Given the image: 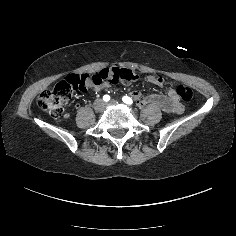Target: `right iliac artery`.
Wrapping results in <instances>:
<instances>
[{
	"mask_svg": "<svg viewBox=\"0 0 236 236\" xmlns=\"http://www.w3.org/2000/svg\"><path fill=\"white\" fill-rule=\"evenodd\" d=\"M103 100H104L105 102H108V101L110 100V96H109V95H104V96H103Z\"/></svg>",
	"mask_w": 236,
	"mask_h": 236,
	"instance_id": "82829eb1",
	"label": "right iliac artery"
}]
</instances>
